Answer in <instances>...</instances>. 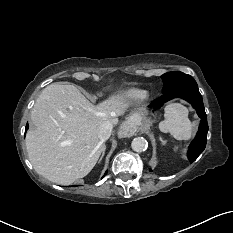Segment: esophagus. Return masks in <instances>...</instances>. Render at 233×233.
I'll use <instances>...</instances> for the list:
<instances>
[{
	"instance_id": "1",
	"label": "esophagus",
	"mask_w": 233,
	"mask_h": 233,
	"mask_svg": "<svg viewBox=\"0 0 233 233\" xmlns=\"http://www.w3.org/2000/svg\"><path fill=\"white\" fill-rule=\"evenodd\" d=\"M132 126H129L127 123H120L117 129V136L119 138H126L128 136L129 130L131 131Z\"/></svg>"
}]
</instances>
